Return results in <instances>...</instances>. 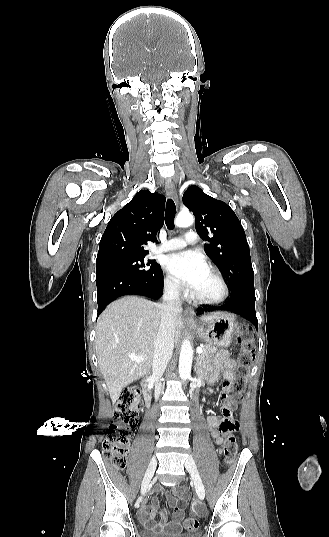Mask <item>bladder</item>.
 <instances>
[{
    "mask_svg": "<svg viewBox=\"0 0 329 537\" xmlns=\"http://www.w3.org/2000/svg\"><path fill=\"white\" fill-rule=\"evenodd\" d=\"M142 537H200L198 531H191L187 533H162L151 530H142Z\"/></svg>",
    "mask_w": 329,
    "mask_h": 537,
    "instance_id": "31cf9c89",
    "label": "bladder"
}]
</instances>
